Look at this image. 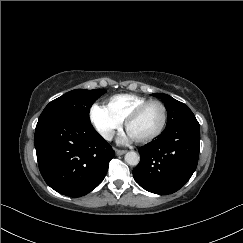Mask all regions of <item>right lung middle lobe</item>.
<instances>
[{
  "instance_id": "obj_1",
  "label": "right lung middle lobe",
  "mask_w": 243,
  "mask_h": 243,
  "mask_svg": "<svg viewBox=\"0 0 243 243\" xmlns=\"http://www.w3.org/2000/svg\"><path fill=\"white\" fill-rule=\"evenodd\" d=\"M106 90L75 89L51 101L43 110L38 123L50 118L62 117L90 123L89 110L91 105Z\"/></svg>"
}]
</instances>
